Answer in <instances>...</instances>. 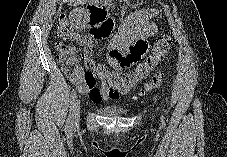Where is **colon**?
Wrapping results in <instances>:
<instances>
[{
    "instance_id": "5ec220e1",
    "label": "colon",
    "mask_w": 227,
    "mask_h": 157,
    "mask_svg": "<svg viewBox=\"0 0 227 157\" xmlns=\"http://www.w3.org/2000/svg\"><path fill=\"white\" fill-rule=\"evenodd\" d=\"M89 12L90 16H104V14L97 9H89ZM92 26L96 27L97 25ZM110 31L111 30H108V32H92L91 35L81 34L77 32L64 17L60 19L57 26V34L62 40L74 41L83 47L82 60L86 68V79L89 83L95 84L97 80H105L119 93H125L131 89L134 77H145L156 67L161 59L168 55L172 45V38L167 35L158 38L151 54L143 61L139 62L133 72H112L104 65L97 63L93 57L97 39L106 37L109 35ZM55 50L59 64L70 78L75 79V71L79 67V58L76 48L70 44L63 43L62 41H57ZM123 63L133 64L136 62ZM162 80L163 75L161 73L154 75L152 79L144 85L135 98H140L147 92L159 87Z\"/></svg>"
}]
</instances>
